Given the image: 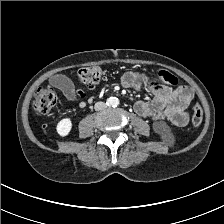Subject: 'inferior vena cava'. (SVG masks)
I'll return each instance as SVG.
<instances>
[{
	"instance_id": "obj_1",
	"label": "inferior vena cava",
	"mask_w": 224,
	"mask_h": 224,
	"mask_svg": "<svg viewBox=\"0 0 224 224\" xmlns=\"http://www.w3.org/2000/svg\"><path fill=\"white\" fill-rule=\"evenodd\" d=\"M106 107V104L104 103V102H97L96 104H95V109L96 110H101V109H104Z\"/></svg>"
}]
</instances>
